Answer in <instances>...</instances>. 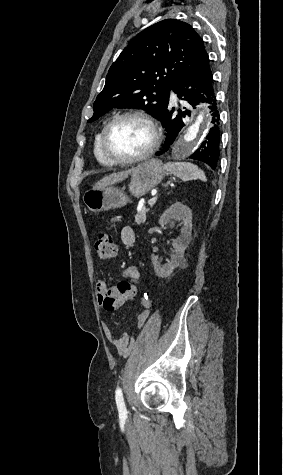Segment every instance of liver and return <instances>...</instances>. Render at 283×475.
<instances>
[{
	"label": "liver",
	"instance_id": "1",
	"mask_svg": "<svg viewBox=\"0 0 283 475\" xmlns=\"http://www.w3.org/2000/svg\"><path fill=\"white\" fill-rule=\"evenodd\" d=\"M132 172L133 170H125V172H117V174H110V176H106V178H102V180L96 182L92 190H102V188H106V186H113V184H118V182L126 180L129 174H132Z\"/></svg>",
	"mask_w": 283,
	"mask_h": 475
}]
</instances>
